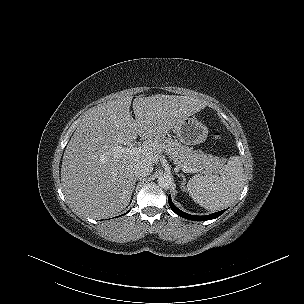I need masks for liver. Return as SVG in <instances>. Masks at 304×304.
I'll return each instance as SVG.
<instances>
[{
    "mask_svg": "<svg viewBox=\"0 0 304 304\" xmlns=\"http://www.w3.org/2000/svg\"><path fill=\"white\" fill-rule=\"evenodd\" d=\"M121 97L99 104L84 114L69 141L62 160L63 192L76 213L104 218L124 210L135 188L134 166L156 164L167 135L183 119L205 108L204 101L175 95ZM140 150L117 152L137 137Z\"/></svg>",
    "mask_w": 304,
    "mask_h": 304,
    "instance_id": "1",
    "label": "liver"
}]
</instances>
